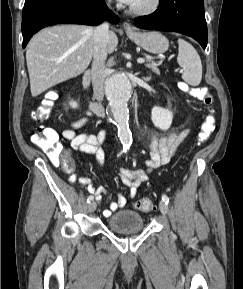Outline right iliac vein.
Listing matches in <instances>:
<instances>
[{"label":"right iliac vein","mask_w":243,"mask_h":289,"mask_svg":"<svg viewBox=\"0 0 243 289\" xmlns=\"http://www.w3.org/2000/svg\"><path fill=\"white\" fill-rule=\"evenodd\" d=\"M96 207H97V204L95 201L90 202V204L88 206L90 212H94Z\"/></svg>","instance_id":"63e3f726"}]
</instances>
